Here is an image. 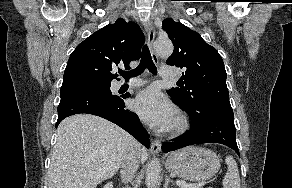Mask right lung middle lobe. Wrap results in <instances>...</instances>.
<instances>
[{"mask_svg": "<svg viewBox=\"0 0 292 188\" xmlns=\"http://www.w3.org/2000/svg\"><path fill=\"white\" fill-rule=\"evenodd\" d=\"M69 84H79L84 85L99 91H103L112 95L110 91L111 81L103 80V79H93V78H81V79H72V80H65L63 81L62 85H69Z\"/></svg>", "mask_w": 292, "mask_h": 188, "instance_id": "dd1d6c3e", "label": "right lung middle lobe"}]
</instances>
